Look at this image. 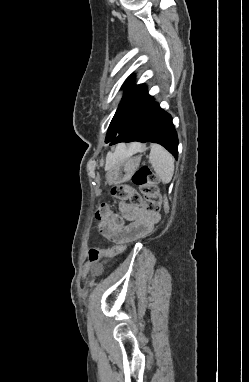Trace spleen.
Instances as JSON below:
<instances>
[{"instance_id":"obj_1","label":"spleen","mask_w":249,"mask_h":382,"mask_svg":"<svg viewBox=\"0 0 249 382\" xmlns=\"http://www.w3.org/2000/svg\"><path fill=\"white\" fill-rule=\"evenodd\" d=\"M149 161L163 183H169L174 174V158L161 145H151Z\"/></svg>"}]
</instances>
